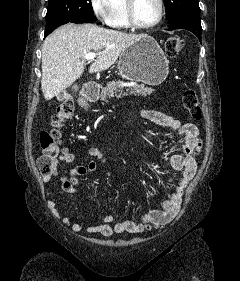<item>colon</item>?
I'll use <instances>...</instances> for the list:
<instances>
[{"label": "colon", "mask_w": 240, "mask_h": 281, "mask_svg": "<svg viewBox=\"0 0 240 281\" xmlns=\"http://www.w3.org/2000/svg\"><path fill=\"white\" fill-rule=\"evenodd\" d=\"M184 44L180 37H171L166 41V53L170 57L179 55L183 50ZM184 108L190 113L194 120H201L202 111L199 105L198 96L193 89H187L182 97ZM74 115V104L72 100L62 101L52 116L54 129L42 131L39 136L42 156L39 158V168L43 175L51 174L54 171V162L58 159L62 150L60 147L62 124L71 119ZM66 152H64L65 154Z\"/></svg>", "instance_id": "obj_1"}]
</instances>
